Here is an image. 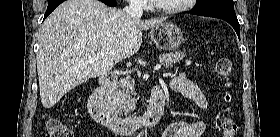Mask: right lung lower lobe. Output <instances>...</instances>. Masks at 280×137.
<instances>
[{"mask_svg": "<svg viewBox=\"0 0 280 137\" xmlns=\"http://www.w3.org/2000/svg\"><path fill=\"white\" fill-rule=\"evenodd\" d=\"M65 0H49L48 7L46 13L44 15V19L48 17V15L60 4ZM108 6L115 7L117 5L115 0H100Z\"/></svg>", "mask_w": 280, "mask_h": 137, "instance_id": "98d812e1", "label": "right lung lower lobe"}]
</instances>
